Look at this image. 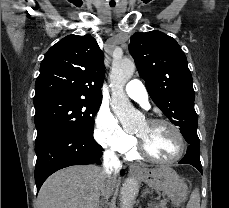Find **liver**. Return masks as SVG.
I'll use <instances>...</instances> for the list:
<instances>
[{
	"instance_id": "obj_1",
	"label": "liver",
	"mask_w": 229,
	"mask_h": 208,
	"mask_svg": "<svg viewBox=\"0 0 229 208\" xmlns=\"http://www.w3.org/2000/svg\"><path fill=\"white\" fill-rule=\"evenodd\" d=\"M102 172L98 166H70L59 170L44 182L35 208H98L104 182ZM105 182L113 190L116 182L109 178Z\"/></svg>"
}]
</instances>
